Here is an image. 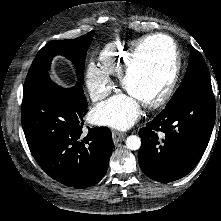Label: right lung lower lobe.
Masks as SVG:
<instances>
[{
  "mask_svg": "<svg viewBox=\"0 0 221 221\" xmlns=\"http://www.w3.org/2000/svg\"><path fill=\"white\" fill-rule=\"evenodd\" d=\"M86 113L81 83L64 89L44 76L23 91L22 126L32 155L50 177L77 189L104 177L113 150L110 129L83 130Z\"/></svg>",
  "mask_w": 221,
  "mask_h": 221,
  "instance_id": "obj_1",
  "label": "right lung lower lobe"
}]
</instances>
